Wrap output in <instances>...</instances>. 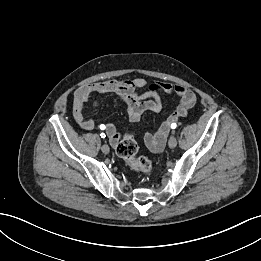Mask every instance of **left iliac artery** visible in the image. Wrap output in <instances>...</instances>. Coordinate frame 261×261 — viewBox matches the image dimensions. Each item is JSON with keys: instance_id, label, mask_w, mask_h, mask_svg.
<instances>
[{"instance_id": "left-iliac-artery-1", "label": "left iliac artery", "mask_w": 261, "mask_h": 261, "mask_svg": "<svg viewBox=\"0 0 261 261\" xmlns=\"http://www.w3.org/2000/svg\"><path fill=\"white\" fill-rule=\"evenodd\" d=\"M176 127H177L176 123H172V124H171V128H172V129H175Z\"/></svg>"}]
</instances>
